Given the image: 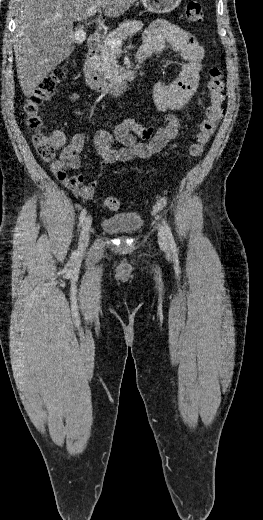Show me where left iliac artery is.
I'll use <instances>...</instances> for the list:
<instances>
[{"label":"left iliac artery","mask_w":263,"mask_h":520,"mask_svg":"<svg viewBox=\"0 0 263 520\" xmlns=\"http://www.w3.org/2000/svg\"><path fill=\"white\" fill-rule=\"evenodd\" d=\"M162 223L164 225V229H165L167 237L169 239L170 246L172 248H174L176 246V244H175V241H174L171 229H170L169 225L167 224V222L164 219H163Z\"/></svg>","instance_id":"obj_1"}]
</instances>
